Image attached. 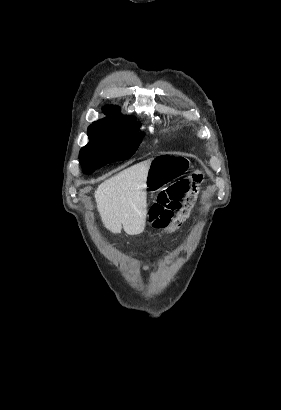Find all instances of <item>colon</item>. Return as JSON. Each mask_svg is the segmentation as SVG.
Wrapping results in <instances>:
<instances>
[{
  "mask_svg": "<svg viewBox=\"0 0 281 410\" xmlns=\"http://www.w3.org/2000/svg\"><path fill=\"white\" fill-rule=\"evenodd\" d=\"M204 179L200 171L181 179L161 191L150 209V222L155 229L172 232L189 217Z\"/></svg>",
  "mask_w": 281,
  "mask_h": 410,
  "instance_id": "colon-1",
  "label": "colon"
}]
</instances>
